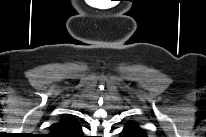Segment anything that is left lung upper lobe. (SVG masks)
Returning a JSON list of instances; mask_svg holds the SVG:
<instances>
[{"label":"left lung upper lobe","mask_w":206,"mask_h":137,"mask_svg":"<svg viewBox=\"0 0 206 137\" xmlns=\"http://www.w3.org/2000/svg\"><path fill=\"white\" fill-rule=\"evenodd\" d=\"M126 128H133V129H135V130H137V131H139V132H141V133H144V130L141 129V128L139 127V125H138L137 123L133 122V121H129V122L126 124Z\"/></svg>","instance_id":"1"}]
</instances>
